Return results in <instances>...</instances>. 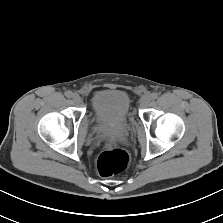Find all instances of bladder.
<instances>
[{"label": "bladder", "instance_id": "31cf9c89", "mask_svg": "<svg viewBox=\"0 0 223 223\" xmlns=\"http://www.w3.org/2000/svg\"><path fill=\"white\" fill-rule=\"evenodd\" d=\"M91 107L98 121L121 123L131 112V99L124 90H100L92 96Z\"/></svg>", "mask_w": 223, "mask_h": 223}]
</instances>
